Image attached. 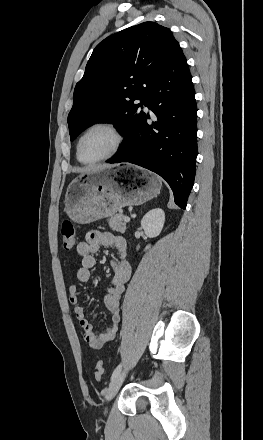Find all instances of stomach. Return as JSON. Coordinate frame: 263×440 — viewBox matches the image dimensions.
Returning a JSON list of instances; mask_svg holds the SVG:
<instances>
[{
	"mask_svg": "<svg viewBox=\"0 0 263 440\" xmlns=\"http://www.w3.org/2000/svg\"><path fill=\"white\" fill-rule=\"evenodd\" d=\"M126 168L129 173H122ZM161 189L154 173L137 167H106L82 173L68 185L65 212L80 224L111 217L126 206L141 205Z\"/></svg>",
	"mask_w": 263,
	"mask_h": 440,
	"instance_id": "0dacf381",
	"label": "stomach"
}]
</instances>
